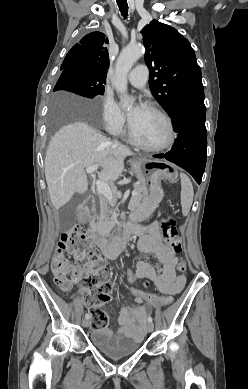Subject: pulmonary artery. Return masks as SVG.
Wrapping results in <instances>:
<instances>
[{
    "label": "pulmonary artery",
    "mask_w": 248,
    "mask_h": 389,
    "mask_svg": "<svg viewBox=\"0 0 248 389\" xmlns=\"http://www.w3.org/2000/svg\"><path fill=\"white\" fill-rule=\"evenodd\" d=\"M149 71L146 65H138L128 75L129 82L138 88L145 86Z\"/></svg>",
    "instance_id": "e3ab8cb5"
}]
</instances>
